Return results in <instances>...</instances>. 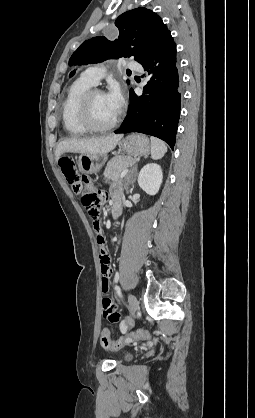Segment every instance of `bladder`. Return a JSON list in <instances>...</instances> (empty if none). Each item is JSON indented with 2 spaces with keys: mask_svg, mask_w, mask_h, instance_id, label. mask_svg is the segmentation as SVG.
<instances>
[{
  "mask_svg": "<svg viewBox=\"0 0 255 418\" xmlns=\"http://www.w3.org/2000/svg\"><path fill=\"white\" fill-rule=\"evenodd\" d=\"M122 360H130L133 357V353L130 351H123L120 355Z\"/></svg>",
  "mask_w": 255,
  "mask_h": 418,
  "instance_id": "1",
  "label": "bladder"
}]
</instances>
